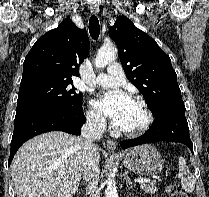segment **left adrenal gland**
I'll use <instances>...</instances> for the list:
<instances>
[{"label":"left adrenal gland","mask_w":209,"mask_h":197,"mask_svg":"<svg viewBox=\"0 0 209 197\" xmlns=\"http://www.w3.org/2000/svg\"><path fill=\"white\" fill-rule=\"evenodd\" d=\"M124 179L126 180V185L133 187V182L131 181L129 176H125Z\"/></svg>","instance_id":"a2214340"}]
</instances>
